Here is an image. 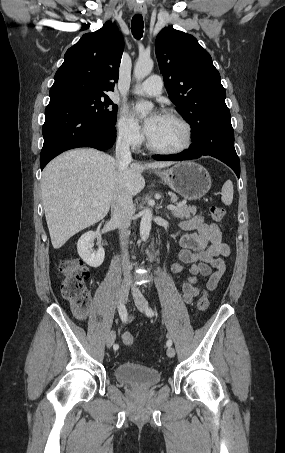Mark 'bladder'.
<instances>
[{"instance_id":"31cf9c89","label":"bladder","mask_w":285,"mask_h":453,"mask_svg":"<svg viewBox=\"0 0 285 453\" xmlns=\"http://www.w3.org/2000/svg\"><path fill=\"white\" fill-rule=\"evenodd\" d=\"M114 376L119 382L137 388L152 387L161 379L157 369L135 363L118 365L114 369Z\"/></svg>"}]
</instances>
